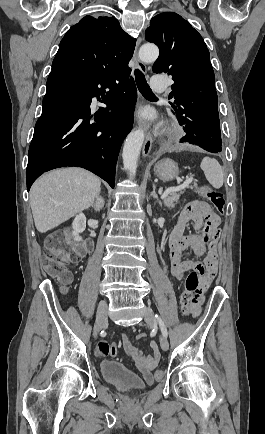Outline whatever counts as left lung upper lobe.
I'll list each match as a JSON object with an SVG mask.
<instances>
[{"label":"left lung upper lobe","mask_w":265,"mask_h":434,"mask_svg":"<svg viewBox=\"0 0 265 434\" xmlns=\"http://www.w3.org/2000/svg\"><path fill=\"white\" fill-rule=\"evenodd\" d=\"M145 37L160 49L153 72L168 73L175 82L169 96L180 124L220 133L214 72L201 35L180 15L164 12L151 19Z\"/></svg>","instance_id":"1"}]
</instances>
